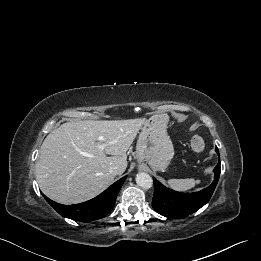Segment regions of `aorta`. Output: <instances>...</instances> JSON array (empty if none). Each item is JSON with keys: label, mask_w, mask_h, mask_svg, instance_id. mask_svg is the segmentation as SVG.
Instances as JSON below:
<instances>
[{"label": "aorta", "mask_w": 261, "mask_h": 261, "mask_svg": "<svg viewBox=\"0 0 261 261\" xmlns=\"http://www.w3.org/2000/svg\"><path fill=\"white\" fill-rule=\"evenodd\" d=\"M136 183L143 189H150L153 185V180L149 174L140 172L136 175Z\"/></svg>", "instance_id": "1"}]
</instances>
